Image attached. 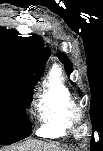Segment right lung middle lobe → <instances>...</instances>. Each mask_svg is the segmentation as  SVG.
<instances>
[{
	"instance_id": "right-lung-middle-lobe-1",
	"label": "right lung middle lobe",
	"mask_w": 103,
	"mask_h": 151,
	"mask_svg": "<svg viewBox=\"0 0 103 151\" xmlns=\"http://www.w3.org/2000/svg\"><path fill=\"white\" fill-rule=\"evenodd\" d=\"M39 79L22 86H9L0 78V143L12 144L31 134V124L25 116V107L32 100L33 88Z\"/></svg>"
}]
</instances>
